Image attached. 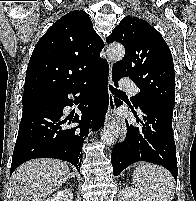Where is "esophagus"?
I'll list each match as a JSON object with an SVG mask.
<instances>
[{"label":"esophagus","instance_id":"obj_1","mask_svg":"<svg viewBox=\"0 0 196 201\" xmlns=\"http://www.w3.org/2000/svg\"><path fill=\"white\" fill-rule=\"evenodd\" d=\"M109 84L112 85L113 84V80H112V63L109 62ZM109 116L108 119H113L114 116L116 115V105L114 102V96L112 95V93H109ZM126 136V129L124 126H122L121 132H120V141H123L125 139Z\"/></svg>","mask_w":196,"mask_h":201}]
</instances>
